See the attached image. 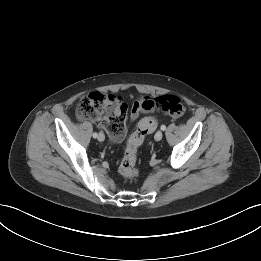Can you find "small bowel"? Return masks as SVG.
<instances>
[{
	"label": "small bowel",
	"mask_w": 261,
	"mask_h": 261,
	"mask_svg": "<svg viewBox=\"0 0 261 261\" xmlns=\"http://www.w3.org/2000/svg\"><path fill=\"white\" fill-rule=\"evenodd\" d=\"M152 99L153 98L146 96V97H143V98L135 101L131 108L130 120L131 121L136 120L138 118V116L140 115V113L152 112L153 110H149L143 106L146 102H148Z\"/></svg>",
	"instance_id": "obj_1"
}]
</instances>
